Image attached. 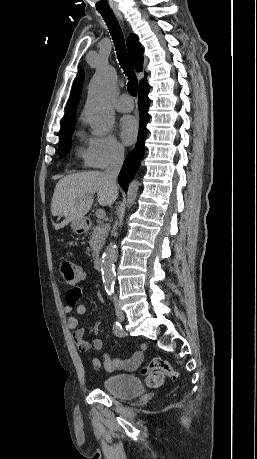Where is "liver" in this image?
<instances>
[{"instance_id": "liver-1", "label": "liver", "mask_w": 257, "mask_h": 459, "mask_svg": "<svg viewBox=\"0 0 257 459\" xmlns=\"http://www.w3.org/2000/svg\"><path fill=\"white\" fill-rule=\"evenodd\" d=\"M101 206H111L118 196L104 172L87 171L70 174L56 184L51 201L53 216H64L61 223H53L59 230L75 220L82 219L93 204V195Z\"/></svg>"}]
</instances>
